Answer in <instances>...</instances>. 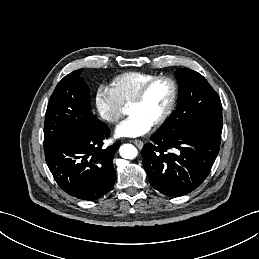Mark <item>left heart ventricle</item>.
Wrapping results in <instances>:
<instances>
[{"mask_svg":"<svg viewBox=\"0 0 259 259\" xmlns=\"http://www.w3.org/2000/svg\"><path fill=\"white\" fill-rule=\"evenodd\" d=\"M171 91V85L167 81L154 83L143 100L130 108V112L139 114L143 119L153 124L167 108Z\"/></svg>","mask_w":259,"mask_h":259,"instance_id":"obj_1","label":"left heart ventricle"}]
</instances>
